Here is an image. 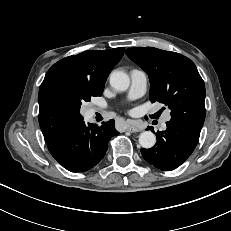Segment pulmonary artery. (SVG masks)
Masks as SVG:
<instances>
[{
	"label": "pulmonary artery",
	"instance_id": "pulmonary-artery-1",
	"mask_svg": "<svg viewBox=\"0 0 231 231\" xmlns=\"http://www.w3.org/2000/svg\"><path fill=\"white\" fill-rule=\"evenodd\" d=\"M131 86L128 93L130 99H136L144 95L147 87V74L140 69H132L130 71ZM96 109H93L91 113L93 114ZM171 116L169 112H166L162 117L161 129H165L166 122L170 120Z\"/></svg>",
	"mask_w": 231,
	"mask_h": 231
}]
</instances>
